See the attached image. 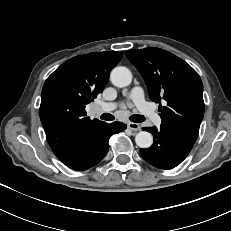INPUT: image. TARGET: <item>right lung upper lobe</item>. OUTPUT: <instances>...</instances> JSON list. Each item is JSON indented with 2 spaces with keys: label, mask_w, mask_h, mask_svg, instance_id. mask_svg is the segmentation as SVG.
I'll use <instances>...</instances> for the list:
<instances>
[{
  "label": "right lung upper lobe",
  "mask_w": 231,
  "mask_h": 231,
  "mask_svg": "<svg viewBox=\"0 0 231 231\" xmlns=\"http://www.w3.org/2000/svg\"><path fill=\"white\" fill-rule=\"evenodd\" d=\"M122 51L92 52L69 59L45 81L40 120L47 141L62 161L76 145L106 123L86 117L85 105L102 93Z\"/></svg>",
  "instance_id": "cb5924a9"
}]
</instances>
